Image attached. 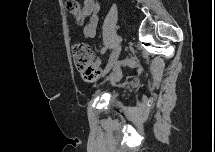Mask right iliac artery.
Segmentation results:
<instances>
[{
  "label": "right iliac artery",
  "mask_w": 215,
  "mask_h": 152,
  "mask_svg": "<svg viewBox=\"0 0 215 152\" xmlns=\"http://www.w3.org/2000/svg\"><path fill=\"white\" fill-rule=\"evenodd\" d=\"M105 52H106V48H105V49H103L102 54H104Z\"/></svg>",
  "instance_id": "obj_1"
}]
</instances>
